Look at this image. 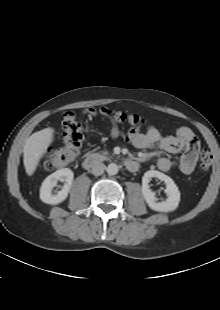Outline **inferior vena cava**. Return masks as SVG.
<instances>
[{"instance_id": "602c4592", "label": "inferior vena cava", "mask_w": 220, "mask_h": 310, "mask_svg": "<svg viewBox=\"0 0 220 310\" xmlns=\"http://www.w3.org/2000/svg\"><path fill=\"white\" fill-rule=\"evenodd\" d=\"M106 166L102 162H96L92 166V174L95 176H100L104 173Z\"/></svg>"}]
</instances>
